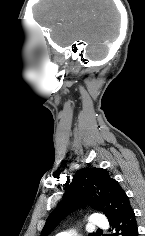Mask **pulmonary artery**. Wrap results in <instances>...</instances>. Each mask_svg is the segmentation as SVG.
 <instances>
[{
    "instance_id": "pulmonary-artery-1",
    "label": "pulmonary artery",
    "mask_w": 145,
    "mask_h": 236,
    "mask_svg": "<svg viewBox=\"0 0 145 236\" xmlns=\"http://www.w3.org/2000/svg\"><path fill=\"white\" fill-rule=\"evenodd\" d=\"M88 224L92 227L104 228L107 225V220L103 215L95 213L91 215ZM57 236H76V233L74 231H65L58 234Z\"/></svg>"
}]
</instances>
